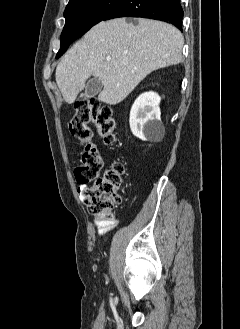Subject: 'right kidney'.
<instances>
[{"mask_svg": "<svg viewBox=\"0 0 240 329\" xmlns=\"http://www.w3.org/2000/svg\"><path fill=\"white\" fill-rule=\"evenodd\" d=\"M160 101V96L152 91L141 94L135 100L129 119L134 136L148 141L164 135V126L160 118Z\"/></svg>", "mask_w": 240, "mask_h": 329, "instance_id": "obj_1", "label": "right kidney"}]
</instances>
